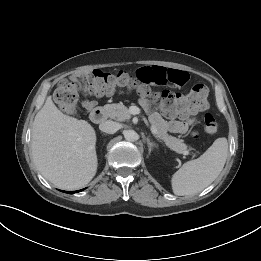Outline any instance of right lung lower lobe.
<instances>
[{"mask_svg": "<svg viewBox=\"0 0 261 261\" xmlns=\"http://www.w3.org/2000/svg\"><path fill=\"white\" fill-rule=\"evenodd\" d=\"M80 191H81V190H80ZM65 192L72 194V193L79 192V191H65Z\"/></svg>", "mask_w": 261, "mask_h": 261, "instance_id": "right-lung-lower-lobe-1", "label": "right lung lower lobe"}]
</instances>
